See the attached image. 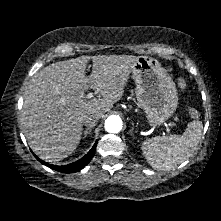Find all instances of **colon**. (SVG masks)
<instances>
[{
  "instance_id": "obj_1",
  "label": "colon",
  "mask_w": 221,
  "mask_h": 221,
  "mask_svg": "<svg viewBox=\"0 0 221 221\" xmlns=\"http://www.w3.org/2000/svg\"><path fill=\"white\" fill-rule=\"evenodd\" d=\"M178 86L180 89H185L186 88V82L184 79L180 78L178 80ZM189 114L192 118H197L199 116V111L195 108H190L189 109Z\"/></svg>"
}]
</instances>
